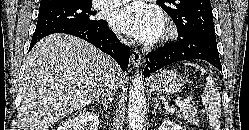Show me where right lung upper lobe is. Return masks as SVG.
Masks as SVG:
<instances>
[{
    "mask_svg": "<svg viewBox=\"0 0 249 130\" xmlns=\"http://www.w3.org/2000/svg\"><path fill=\"white\" fill-rule=\"evenodd\" d=\"M79 1H84V0H41L40 7L69 5L75 2H79Z\"/></svg>",
    "mask_w": 249,
    "mask_h": 130,
    "instance_id": "cb5924a9",
    "label": "right lung upper lobe"
}]
</instances>
